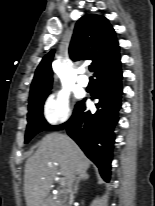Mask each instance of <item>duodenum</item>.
Here are the masks:
<instances>
[{
	"label": "duodenum",
	"mask_w": 155,
	"mask_h": 206,
	"mask_svg": "<svg viewBox=\"0 0 155 206\" xmlns=\"http://www.w3.org/2000/svg\"><path fill=\"white\" fill-rule=\"evenodd\" d=\"M50 202L52 203V202H53V200H52V199H50Z\"/></svg>",
	"instance_id": "410a0bca"
}]
</instances>
